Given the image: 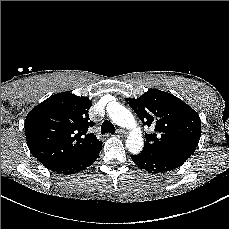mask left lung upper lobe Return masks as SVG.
Instances as JSON below:
<instances>
[{
	"label": "left lung upper lobe",
	"instance_id": "1",
	"mask_svg": "<svg viewBox=\"0 0 229 229\" xmlns=\"http://www.w3.org/2000/svg\"><path fill=\"white\" fill-rule=\"evenodd\" d=\"M143 125L154 127L145 134L141 153L155 156L189 158L201 136V120L195 110L176 96L150 89L137 99H126Z\"/></svg>",
	"mask_w": 229,
	"mask_h": 229
}]
</instances>
